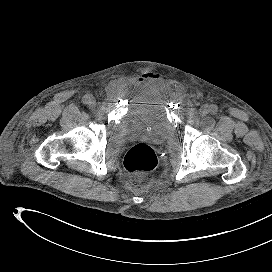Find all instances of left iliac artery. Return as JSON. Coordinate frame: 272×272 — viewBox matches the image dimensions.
<instances>
[{"mask_svg":"<svg viewBox=\"0 0 272 272\" xmlns=\"http://www.w3.org/2000/svg\"><path fill=\"white\" fill-rule=\"evenodd\" d=\"M217 111H218V108H217L216 105H212V106L210 107V112H211V113L216 114Z\"/></svg>","mask_w":272,"mask_h":272,"instance_id":"1","label":"left iliac artery"}]
</instances>
